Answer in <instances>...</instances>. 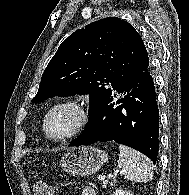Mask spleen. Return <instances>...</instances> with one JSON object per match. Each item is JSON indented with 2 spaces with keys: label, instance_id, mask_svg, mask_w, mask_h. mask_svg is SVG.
Masks as SVG:
<instances>
[{
  "label": "spleen",
  "instance_id": "spleen-1",
  "mask_svg": "<svg viewBox=\"0 0 189 195\" xmlns=\"http://www.w3.org/2000/svg\"><path fill=\"white\" fill-rule=\"evenodd\" d=\"M119 151L118 167L127 180L146 183L153 179L152 164L146 156L125 145H119Z\"/></svg>",
  "mask_w": 189,
  "mask_h": 195
}]
</instances>
